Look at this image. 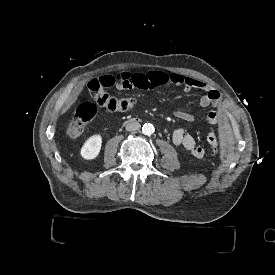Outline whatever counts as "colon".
I'll use <instances>...</instances> for the list:
<instances>
[{
  "label": "colon",
  "mask_w": 275,
  "mask_h": 275,
  "mask_svg": "<svg viewBox=\"0 0 275 275\" xmlns=\"http://www.w3.org/2000/svg\"><path fill=\"white\" fill-rule=\"evenodd\" d=\"M85 86L86 88H92L91 94L95 102L98 103L100 107L109 111L128 110L135 104V100L132 98H118L104 92L105 86L100 82L99 77H86ZM93 105L94 103L85 101L77 107L73 119L67 127V133L70 136L77 137L84 134L87 124L95 117L97 112V110L93 108ZM209 154L216 159L222 156L221 151L216 147H211Z\"/></svg>",
  "instance_id": "obj_1"
}]
</instances>
